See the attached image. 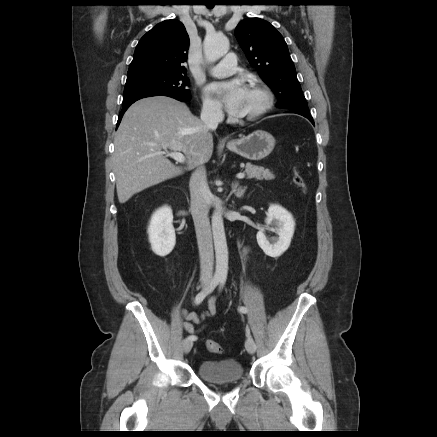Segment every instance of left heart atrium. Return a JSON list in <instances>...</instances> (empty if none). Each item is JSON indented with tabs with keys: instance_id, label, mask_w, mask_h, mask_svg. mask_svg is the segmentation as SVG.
I'll return each mask as SVG.
<instances>
[{
	"instance_id": "1",
	"label": "left heart atrium",
	"mask_w": 437,
	"mask_h": 437,
	"mask_svg": "<svg viewBox=\"0 0 437 437\" xmlns=\"http://www.w3.org/2000/svg\"><path fill=\"white\" fill-rule=\"evenodd\" d=\"M208 90L219 97L225 109L237 115L241 109L247 88L240 80L216 82L209 85Z\"/></svg>"
}]
</instances>
